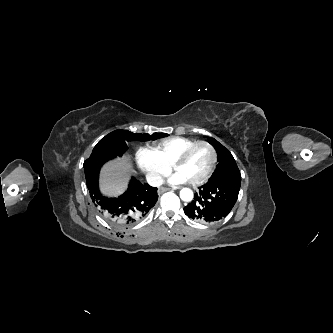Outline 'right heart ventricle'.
<instances>
[{
	"instance_id": "right-heart-ventricle-1",
	"label": "right heart ventricle",
	"mask_w": 333,
	"mask_h": 333,
	"mask_svg": "<svg viewBox=\"0 0 333 333\" xmlns=\"http://www.w3.org/2000/svg\"><path fill=\"white\" fill-rule=\"evenodd\" d=\"M196 140L181 137L171 136L155 142L152 149L158 155L160 160L166 165L171 166L175 158L188 146L195 143Z\"/></svg>"
}]
</instances>
